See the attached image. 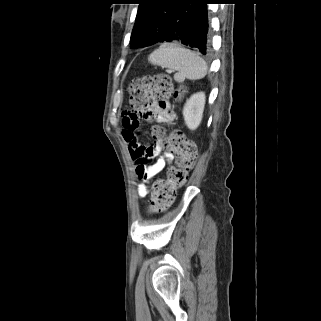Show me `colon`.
<instances>
[{"mask_svg":"<svg viewBox=\"0 0 321 321\" xmlns=\"http://www.w3.org/2000/svg\"><path fill=\"white\" fill-rule=\"evenodd\" d=\"M129 94L132 108L143 110L163 98L180 99L184 90L174 89L171 78L159 74L133 79L129 85ZM163 133L164 130L161 127H156L157 138L160 139ZM165 146L176 155L177 166L168 170L165 180H159L154 184L149 206L151 212L163 211L173 203L177 189L185 183L187 174L197 159L195 143L187 139L180 130H174L169 134L165 140Z\"/></svg>","mask_w":321,"mask_h":321,"instance_id":"colon-1","label":"colon"}]
</instances>
